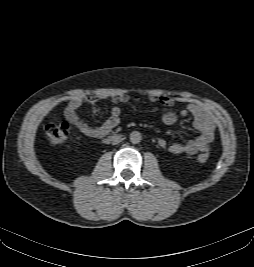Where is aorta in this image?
I'll return each instance as SVG.
<instances>
[{
    "instance_id": "1",
    "label": "aorta",
    "mask_w": 254,
    "mask_h": 267,
    "mask_svg": "<svg viewBox=\"0 0 254 267\" xmlns=\"http://www.w3.org/2000/svg\"><path fill=\"white\" fill-rule=\"evenodd\" d=\"M142 136L138 131H133L130 133V141L134 144L141 142Z\"/></svg>"
}]
</instances>
